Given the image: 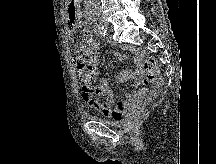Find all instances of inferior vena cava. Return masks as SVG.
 Instances as JSON below:
<instances>
[{
    "instance_id": "602c4592",
    "label": "inferior vena cava",
    "mask_w": 216,
    "mask_h": 164,
    "mask_svg": "<svg viewBox=\"0 0 216 164\" xmlns=\"http://www.w3.org/2000/svg\"><path fill=\"white\" fill-rule=\"evenodd\" d=\"M95 1V5H99L98 0H94Z\"/></svg>"
}]
</instances>
